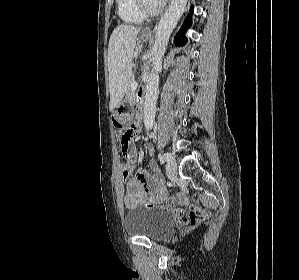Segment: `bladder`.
I'll return each mask as SVG.
<instances>
[{"instance_id":"1","label":"bladder","mask_w":299,"mask_h":280,"mask_svg":"<svg viewBox=\"0 0 299 280\" xmlns=\"http://www.w3.org/2000/svg\"><path fill=\"white\" fill-rule=\"evenodd\" d=\"M173 220L170 214L160 208L132 209L124 216V228L128 235L158 241L172 231Z\"/></svg>"}]
</instances>
